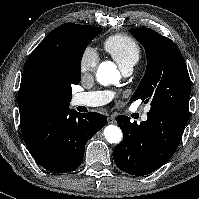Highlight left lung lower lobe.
<instances>
[{"label": "left lung lower lobe", "mask_w": 199, "mask_h": 199, "mask_svg": "<svg viewBox=\"0 0 199 199\" xmlns=\"http://www.w3.org/2000/svg\"><path fill=\"white\" fill-rule=\"evenodd\" d=\"M147 116L139 125L127 116L116 117L124 137L115 146L113 158L123 172L142 176L155 171L170 159L181 141L187 119L156 110Z\"/></svg>", "instance_id": "obj_1"}]
</instances>
